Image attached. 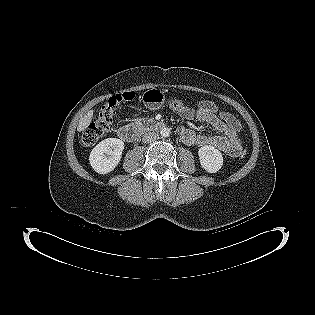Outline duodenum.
I'll return each mask as SVG.
<instances>
[{
    "mask_svg": "<svg viewBox=\"0 0 315 315\" xmlns=\"http://www.w3.org/2000/svg\"><path fill=\"white\" fill-rule=\"evenodd\" d=\"M163 127L164 124L158 121L140 120L120 127L118 129V136L124 141L133 142L136 141L142 133Z\"/></svg>",
    "mask_w": 315,
    "mask_h": 315,
    "instance_id": "1",
    "label": "duodenum"
}]
</instances>
